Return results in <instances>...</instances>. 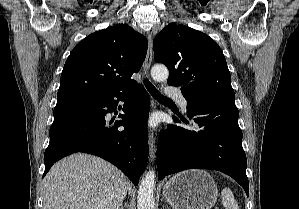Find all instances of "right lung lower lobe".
Wrapping results in <instances>:
<instances>
[{
  "mask_svg": "<svg viewBox=\"0 0 299 209\" xmlns=\"http://www.w3.org/2000/svg\"><path fill=\"white\" fill-rule=\"evenodd\" d=\"M119 101L126 103L125 114L110 126L112 122H107L105 115L114 111ZM148 113L149 95L141 85L122 92L57 98L43 177L61 158L85 152L111 162L138 185L149 153Z\"/></svg>",
  "mask_w": 299,
  "mask_h": 209,
  "instance_id": "98d812e1",
  "label": "right lung lower lobe"
}]
</instances>
